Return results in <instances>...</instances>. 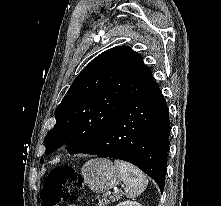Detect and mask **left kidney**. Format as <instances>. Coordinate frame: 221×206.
Here are the masks:
<instances>
[{"instance_id":"5707ae66","label":"left kidney","mask_w":221,"mask_h":206,"mask_svg":"<svg viewBox=\"0 0 221 206\" xmlns=\"http://www.w3.org/2000/svg\"><path fill=\"white\" fill-rule=\"evenodd\" d=\"M116 206H141L140 203H138L137 201H123L121 203H119L118 205Z\"/></svg>"}]
</instances>
